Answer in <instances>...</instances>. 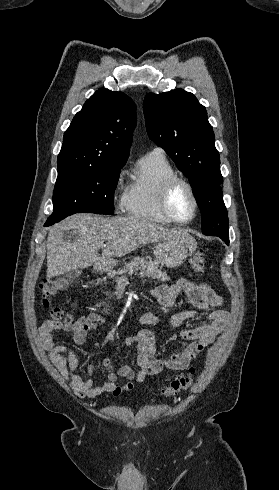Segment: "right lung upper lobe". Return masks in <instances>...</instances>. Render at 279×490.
<instances>
[{"label":"right lung upper lobe","mask_w":279,"mask_h":490,"mask_svg":"<svg viewBox=\"0 0 279 490\" xmlns=\"http://www.w3.org/2000/svg\"><path fill=\"white\" fill-rule=\"evenodd\" d=\"M135 126L131 98L122 92L99 89L64 133L58 167L126 163Z\"/></svg>","instance_id":"obj_1"}]
</instances>
